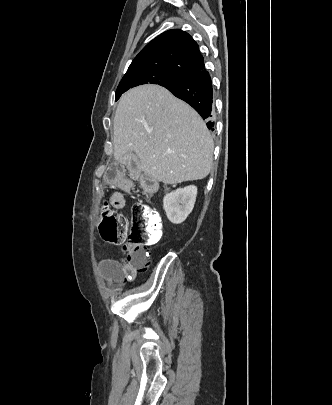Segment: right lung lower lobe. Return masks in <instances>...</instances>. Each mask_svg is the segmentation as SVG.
I'll use <instances>...</instances> for the list:
<instances>
[{
	"mask_svg": "<svg viewBox=\"0 0 332 405\" xmlns=\"http://www.w3.org/2000/svg\"><path fill=\"white\" fill-rule=\"evenodd\" d=\"M172 94L191 105L203 119L211 116L213 110V87L209 72L205 69L189 75L177 83L166 86ZM214 123L209 121L208 128Z\"/></svg>",
	"mask_w": 332,
	"mask_h": 405,
	"instance_id": "obj_1",
	"label": "right lung lower lobe"
}]
</instances>
